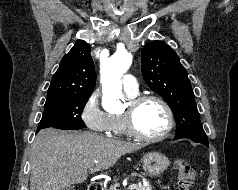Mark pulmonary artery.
Segmentation results:
<instances>
[{
	"mask_svg": "<svg viewBox=\"0 0 238 190\" xmlns=\"http://www.w3.org/2000/svg\"><path fill=\"white\" fill-rule=\"evenodd\" d=\"M123 89L129 94H137L138 83L136 78L131 74H126L122 79Z\"/></svg>",
	"mask_w": 238,
	"mask_h": 190,
	"instance_id": "obj_1",
	"label": "pulmonary artery"
}]
</instances>
